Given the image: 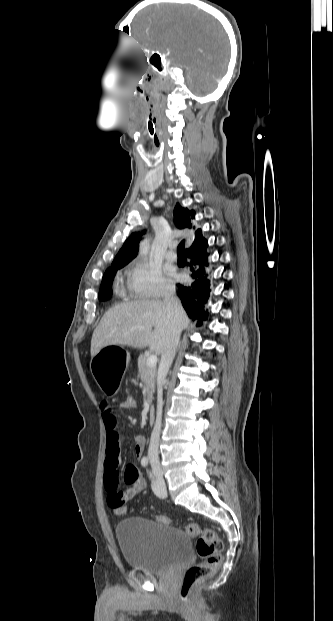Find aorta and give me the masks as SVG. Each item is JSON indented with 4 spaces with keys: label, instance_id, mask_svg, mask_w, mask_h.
<instances>
[{
    "label": "aorta",
    "instance_id": "obj_1",
    "mask_svg": "<svg viewBox=\"0 0 333 621\" xmlns=\"http://www.w3.org/2000/svg\"><path fill=\"white\" fill-rule=\"evenodd\" d=\"M140 253L142 255H146L148 253V249H149V241L147 239H144L141 243H140Z\"/></svg>",
    "mask_w": 333,
    "mask_h": 621
}]
</instances>
